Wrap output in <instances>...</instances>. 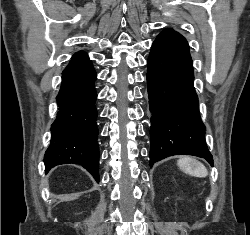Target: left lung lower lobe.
Wrapping results in <instances>:
<instances>
[{
	"label": "left lung lower lobe",
	"instance_id": "left-lung-lower-lobe-1",
	"mask_svg": "<svg viewBox=\"0 0 250 235\" xmlns=\"http://www.w3.org/2000/svg\"><path fill=\"white\" fill-rule=\"evenodd\" d=\"M194 73L186 39L172 29L161 32L148 57L150 166L172 155H193L213 165L198 111Z\"/></svg>",
	"mask_w": 250,
	"mask_h": 235
}]
</instances>
